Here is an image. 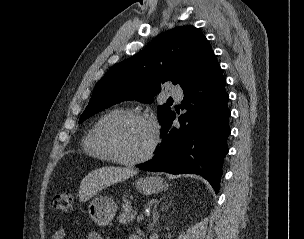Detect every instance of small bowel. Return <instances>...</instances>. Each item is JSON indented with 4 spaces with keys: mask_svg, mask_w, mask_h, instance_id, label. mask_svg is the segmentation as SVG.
<instances>
[{
    "mask_svg": "<svg viewBox=\"0 0 304 239\" xmlns=\"http://www.w3.org/2000/svg\"><path fill=\"white\" fill-rule=\"evenodd\" d=\"M66 237V230L59 228L53 232L51 239H66ZM86 239H102V237L96 232H90L87 234Z\"/></svg>",
    "mask_w": 304,
    "mask_h": 239,
    "instance_id": "obj_1",
    "label": "small bowel"
}]
</instances>
